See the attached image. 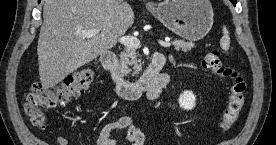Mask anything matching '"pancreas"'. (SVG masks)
Returning a JSON list of instances; mask_svg holds the SVG:
<instances>
[{
	"mask_svg": "<svg viewBox=\"0 0 276 145\" xmlns=\"http://www.w3.org/2000/svg\"><path fill=\"white\" fill-rule=\"evenodd\" d=\"M173 45L175 50H181L183 52L190 51L195 47L194 43L179 39H175ZM131 66L134 69V74H137L141 70V65L137 59L136 48L126 47L124 52L120 54V68L124 73H129Z\"/></svg>",
	"mask_w": 276,
	"mask_h": 145,
	"instance_id": "1",
	"label": "pancreas"
}]
</instances>
